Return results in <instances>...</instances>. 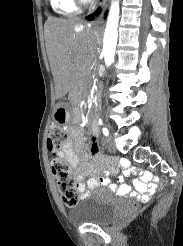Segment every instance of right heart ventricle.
Returning <instances> with one entry per match:
<instances>
[{
	"label": "right heart ventricle",
	"instance_id": "right-heart-ventricle-1",
	"mask_svg": "<svg viewBox=\"0 0 183 246\" xmlns=\"http://www.w3.org/2000/svg\"><path fill=\"white\" fill-rule=\"evenodd\" d=\"M53 11L61 16H74L79 13L75 0H49Z\"/></svg>",
	"mask_w": 183,
	"mask_h": 246
}]
</instances>
